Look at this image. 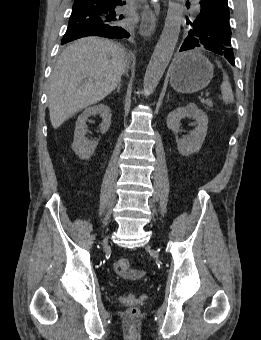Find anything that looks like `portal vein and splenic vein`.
<instances>
[{"instance_id":"18ae733b","label":"portal vein and splenic vein","mask_w":261,"mask_h":340,"mask_svg":"<svg viewBox=\"0 0 261 340\" xmlns=\"http://www.w3.org/2000/svg\"><path fill=\"white\" fill-rule=\"evenodd\" d=\"M205 96H206V97H208V96H209V93H208V92H206V93H205ZM203 99H204V98H203Z\"/></svg>"}]
</instances>
